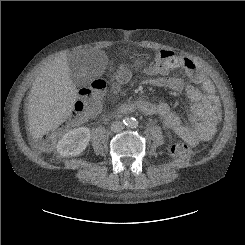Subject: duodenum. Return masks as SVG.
I'll use <instances>...</instances> for the list:
<instances>
[{
  "mask_svg": "<svg viewBox=\"0 0 245 245\" xmlns=\"http://www.w3.org/2000/svg\"><path fill=\"white\" fill-rule=\"evenodd\" d=\"M137 108V106H133V105H125L123 106L120 110H119V114L121 115H127L130 114L131 112H133L135 109Z\"/></svg>",
  "mask_w": 245,
  "mask_h": 245,
  "instance_id": "duodenum-1",
  "label": "duodenum"
}]
</instances>
